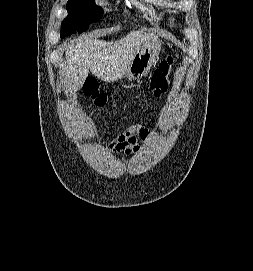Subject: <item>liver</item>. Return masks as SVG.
Wrapping results in <instances>:
<instances>
[{
  "mask_svg": "<svg viewBox=\"0 0 253 271\" xmlns=\"http://www.w3.org/2000/svg\"><path fill=\"white\" fill-rule=\"evenodd\" d=\"M157 40L154 33L131 31L119 41L106 42L95 37L68 44L64 67L68 91L74 94L81 89L89 70L106 82L118 79L125 74L139 49Z\"/></svg>",
  "mask_w": 253,
  "mask_h": 271,
  "instance_id": "liver-1",
  "label": "liver"
}]
</instances>
